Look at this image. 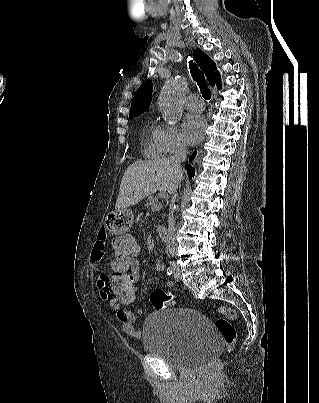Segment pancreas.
Listing matches in <instances>:
<instances>
[{"mask_svg":"<svg viewBox=\"0 0 319 403\" xmlns=\"http://www.w3.org/2000/svg\"><path fill=\"white\" fill-rule=\"evenodd\" d=\"M158 203H159V200H158L157 197H154V196H148L147 197V200H146V206L147 207H150L151 209H153L154 206L157 205ZM161 207H162V205L157 210H160Z\"/></svg>","mask_w":319,"mask_h":403,"instance_id":"obj_1","label":"pancreas"}]
</instances>
